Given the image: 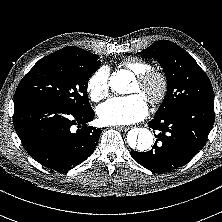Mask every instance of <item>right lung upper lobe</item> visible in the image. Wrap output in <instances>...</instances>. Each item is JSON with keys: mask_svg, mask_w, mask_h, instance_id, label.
<instances>
[{"mask_svg": "<svg viewBox=\"0 0 222 222\" xmlns=\"http://www.w3.org/2000/svg\"><path fill=\"white\" fill-rule=\"evenodd\" d=\"M81 51H83V49L78 48V47H74V46H69V47L62 48L61 50L56 51V52H58V53H64V52L74 53V52H81Z\"/></svg>", "mask_w": 222, "mask_h": 222, "instance_id": "obj_1", "label": "right lung upper lobe"}]
</instances>
